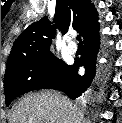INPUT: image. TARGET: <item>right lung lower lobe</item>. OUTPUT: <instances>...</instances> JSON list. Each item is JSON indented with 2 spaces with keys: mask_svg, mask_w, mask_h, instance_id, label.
<instances>
[{
  "mask_svg": "<svg viewBox=\"0 0 122 123\" xmlns=\"http://www.w3.org/2000/svg\"><path fill=\"white\" fill-rule=\"evenodd\" d=\"M84 54L80 60L70 65L66 73L55 81L47 84L43 89H56L63 91L71 99L81 97L87 90L102 78L96 65L97 54L100 50L99 29L84 40ZM80 66H84L85 74L78 75Z\"/></svg>",
  "mask_w": 122,
  "mask_h": 123,
  "instance_id": "98d812e1",
  "label": "right lung lower lobe"
}]
</instances>
